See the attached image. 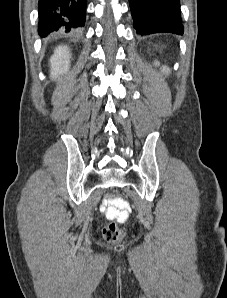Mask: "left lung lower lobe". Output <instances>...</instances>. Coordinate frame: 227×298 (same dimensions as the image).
Segmentation results:
<instances>
[{
	"label": "left lung lower lobe",
	"instance_id": "1",
	"mask_svg": "<svg viewBox=\"0 0 227 298\" xmlns=\"http://www.w3.org/2000/svg\"><path fill=\"white\" fill-rule=\"evenodd\" d=\"M129 4L134 28L140 35L183 34L180 0H129Z\"/></svg>",
	"mask_w": 227,
	"mask_h": 298
}]
</instances>
